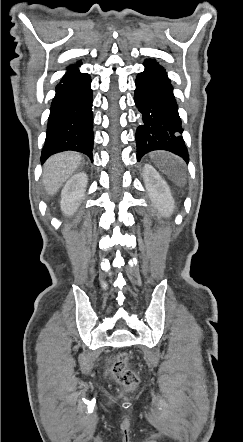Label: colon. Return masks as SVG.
Returning a JSON list of instances; mask_svg holds the SVG:
<instances>
[{
  "label": "colon",
  "instance_id": "1",
  "mask_svg": "<svg viewBox=\"0 0 243 442\" xmlns=\"http://www.w3.org/2000/svg\"><path fill=\"white\" fill-rule=\"evenodd\" d=\"M129 355L126 352L120 353L112 365L114 378L127 390L135 389L139 384L137 374L128 368Z\"/></svg>",
  "mask_w": 243,
  "mask_h": 442
}]
</instances>
